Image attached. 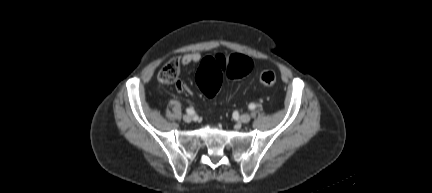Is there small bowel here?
Instances as JSON below:
<instances>
[{"label":"small bowel","instance_id":"c3829d8e","mask_svg":"<svg viewBox=\"0 0 432 193\" xmlns=\"http://www.w3.org/2000/svg\"><path fill=\"white\" fill-rule=\"evenodd\" d=\"M201 60V54L199 52H190L182 56L181 62L184 66L198 63ZM184 84L182 82H177V88L182 89Z\"/></svg>","mask_w":432,"mask_h":193}]
</instances>
